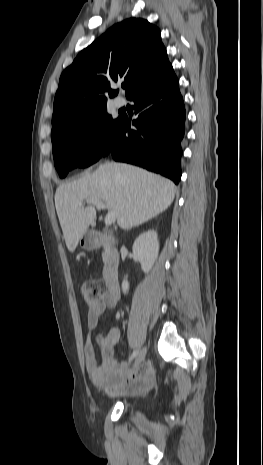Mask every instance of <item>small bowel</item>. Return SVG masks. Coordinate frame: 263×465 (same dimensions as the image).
I'll return each instance as SVG.
<instances>
[{
    "instance_id": "obj_1",
    "label": "small bowel",
    "mask_w": 263,
    "mask_h": 465,
    "mask_svg": "<svg viewBox=\"0 0 263 465\" xmlns=\"http://www.w3.org/2000/svg\"><path fill=\"white\" fill-rule=\"evenodd\" d=\"M118 300L119 295L115 296L109 292L101 301L89 307L87 313L88 337L84 345L85 365L93 385L113 395L138 392L147 389L152 383L149 364L142 365L127 377L124 363L115 364L107 369L101 368L97 363L91 339L92 331L96 328L100 315L107 309L115 308ZM108 338L111 344H115L119 339V331L112 330Z\"/></svg>"
}]
</instances>
